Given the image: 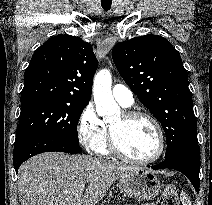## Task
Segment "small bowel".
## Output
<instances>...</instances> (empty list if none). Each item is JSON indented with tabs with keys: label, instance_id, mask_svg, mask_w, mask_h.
Listing matches in <instances>:
<instances>
[{
	"label": "small bowel",
	"instance_id": "c3829d8e",
	"mask_svg": "<svg viewBox=\"0 0 212 205\" xmlns=\"http://www.w3.org/2000/svg\"><path fill=\"white\" fill-rule=\"evenodd\" d=\"M142 205H156V204H151V203H150V204H142Z\"/></svg>",
	"mask_w": 212,
	"mask_h": 205
}]
</instances>
